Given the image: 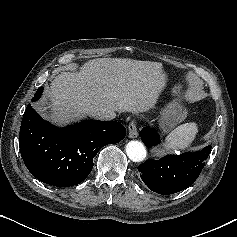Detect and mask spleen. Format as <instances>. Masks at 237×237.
<instances>
[{"label": "spleen", "mask_w": 237, "mask_h": 237, "mask_svg": "<svg viewBox=\"0 0 237 237\" xmlns=\"http://www.w3.org/2000/svg\"><path fill=\"white\" fill-rule=\"evenodd\" d=\"M198 133L196 123H185L175 128L165 139L164 148L169 151H177L179 149H187L194 141ZM161 150H157L159 154Z\"/></svg>", "instance_id": "spleen-1"}]
</instances>
